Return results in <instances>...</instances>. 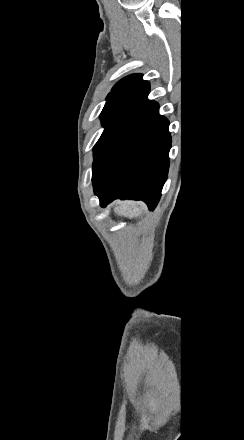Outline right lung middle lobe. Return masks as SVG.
Segmentation results:
<instances>
[{
    "mask_svg": "<svg viewBox=\"0 0 244 440\" xmlns=\"http://www.w3.org/2000/svg\"><path fill=\"white\" fill-rule=\"evenodd\" d=\"M135 98H120L107 100V103L100 115L102 125L105 127L100 139L94 147V156L99 152L102 144L116 126V124L139 102Z\"/></svg>",
    "mask_w": 244,
    "mask_h": 440,
    "instance_id": "dd1d6c3e",
    "label": "right lung middle lobe"
}]
</instances>
